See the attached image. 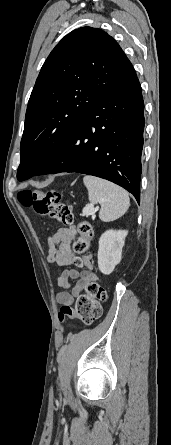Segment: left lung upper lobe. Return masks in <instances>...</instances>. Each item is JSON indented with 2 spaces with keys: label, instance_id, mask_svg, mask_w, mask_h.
I'll return each instance as SVG.
<instances>
[{
  "label": "left lung upper lobe",
  "instance_id": "obj_1",
  "mask_svg": "<svg viewBox=\"0 0 171 445\" xmlns=\"http://www.w3.org/2000/svg\"><path fill=\"white\" fill-rule=\"evenodd\" d=\"M134 72L104 31L81 27L66 35L44 62L31 93L17 179H28L48 164L88 108Z\"/></svg>",
  "mask_w": 171,
  "mask_h": 445
}]
</instances>
